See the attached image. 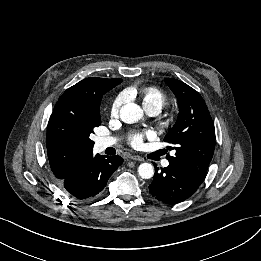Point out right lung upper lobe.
<instances>
[{"instance_id":"obj_1","label":"right lung upper lobe","mask_w":261,"mask_h":261,"mask_svg":"<svg viewBox=\"0 0 261 261\" xmlns=\"http://www.w3.org/2000/svg\"><path fill=\"white\" fill-rule=\"evenodd\" d=\"M122 79L86 78L68 88L59 98L54 111L64 110L73 114L83 108L100 107L102 96L121 83ZM50 167L59 180L65 178L93 150L84 146L46 142Z\"/></svg>"}]
</instances>
